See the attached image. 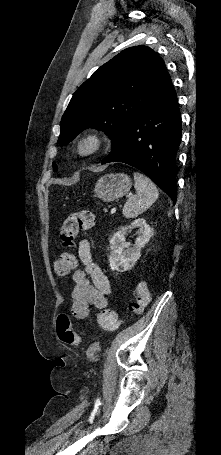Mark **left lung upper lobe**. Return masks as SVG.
<instances>
[{
  "mask_svg": "<svg viewBox=\"0 0 221 455\" xmlns=\"http://www.w3.org/2000/svg\"><path fill=\"white\" fill-rule=\"evenodd\" d=\"M170 80L164 61L152 49L134 46L123 50L74 93L61 120L58 143L63 146L93 127L104 131L114 146ZM57 169L53 163V170Z\"/></svg>",
  "mask_w": 221,
  "mask_h": 455,
  "instance_id": "obj_1",
  "label": "left lung upper lobe"
}]
</instances>
